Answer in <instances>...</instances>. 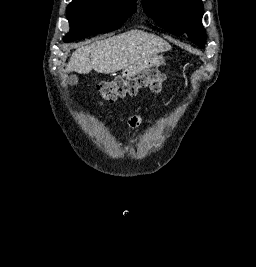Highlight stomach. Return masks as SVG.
Instances as JSON below:
<instances>
[{
  "label": "stomach",
  "mask_w": 256,
  "mask_h": 267,
  "mask_svg": "<svg viewBox=\"0 0 256 267\" xmlns=\"http://www.w3.org/2000/svg\"><path fill=\"white\" fill-rule=\"evenodd\" d=\"M135 67H164V62H135Z\"/></svg>",
  "instance_id": "1"
}]
</instances>
